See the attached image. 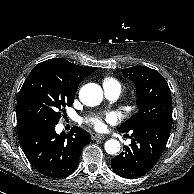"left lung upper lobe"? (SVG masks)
<instances>
[{"instance_id": "5c2ea615", "label": "left lung upper lobe", "mask_w": 194, "mask_h": 194, "mask_svg": "<svg viewBox=\"0 0 194 194\" xmlns=\"http://www.w3.org/2000/svg\"><path fill=\"white\" fill-rule=\"evenodd\" d=\"M121 72L136 85L139 111L118 128L119 132H129L139 122L172 119L171 91L157 70L133 66Z\"/></svg>"}]
</instances>
